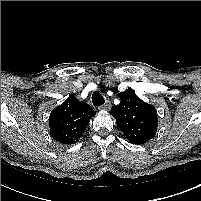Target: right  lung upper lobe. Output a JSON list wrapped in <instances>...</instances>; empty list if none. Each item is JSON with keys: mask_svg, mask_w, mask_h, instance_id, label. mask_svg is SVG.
<instances>
[{"mask_svg": "<svg viewBox=\"0 0 201 201\" xmlns=\"http://www.w3.org/2000/svg\"><path fill=\"white\" fill-rule=\"evenodd\" d=\"M95 114L90 105L70 95L52 110L49 117L50 135L60 143L73 144L79 140Z\"/></svg>", "mask_w": 201, "mask_h": 201, "instance_id": "right-lung-upper-lobe-1", "label": "right lung upper lobe"}]
</instances>
